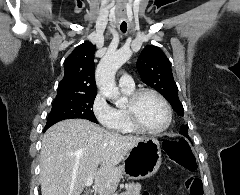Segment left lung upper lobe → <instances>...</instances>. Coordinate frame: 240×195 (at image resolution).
I'll return each mask as SVG.
<instances>
[{"label":"left lung upper lobe","instance_id":"obj_1","mask_svg":"<svg viewBox=\"0 0 240 195\" xmlns=\"http://www.w3.org/2000/svg\"><path fill=\"white\" fill-rule=\"evenodd\" d=\"M142 81L161 93L179 116L184 115L183 105L178 97L170 62L159 47L147 46L136 63ZM181 134L188 137V126H181Z\"/></svg>","mask_w":240,"mask_h":195}]
</instances>
